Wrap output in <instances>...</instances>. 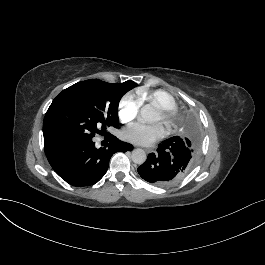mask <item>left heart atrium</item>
I'll list each match as a JSON object with an SVG mask.
<instances>
[{
	"instance_id": "left-heart-atrium-1",
	"label": "left heart atrium",
	"mask_w": 265,
	"mask_h": 265,
	"mask_svg": "<svg viewBox=\"0 0 265 265\" xmlns=\"http://www.w3.org/2000/svg\"><path fill=\"white\" fill-rule=\"evenodd\" d=\"M166 134L167 131L161 123L154 125L135 123L125 128L122 136L129 142L145 146L160 140Z\"/></svg>"
}]
</instances>
